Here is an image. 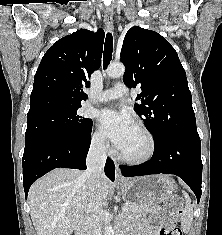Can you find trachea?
<instances>
[{
  "label": "trachea",
  "instance_id": "3493384b",
  "mask_svg": "<svg viewBox=\"0 0 222 235\" xmlns=\"http://www.w3.org/2000/svg\"><path fill=\"white\" fill-rule=\"evenodd\" d=\"M112 52H113V38L112 34L108 33L105 39L104 45V54H103V67L104 69L108 66L112 59Z\"/></svg>",
  "mask_w": 222,
  "mask_h": 235
}]
</instances>
